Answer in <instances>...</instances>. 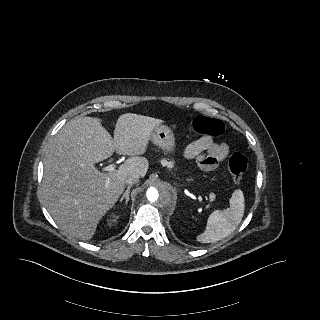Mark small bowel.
Listing matches in <instances>:
<instances>
[{"instance_id": "small-bowel-1", "label": "small bowel", "mask_w": 320, "mask_h": 320, "mask_svg": "<svg viewBox=\"0 0 320 320\" xmlns=\"http://www.w3.org/2000/svg\"><path fill=\"white\" fill-rule=\"evenodd\" d=\"M228 155V145L215 142L211 136H204L191 142L184 150L185 158H196L201 169L207 172L214 171Z\"/></svg>"}]
</instances>
